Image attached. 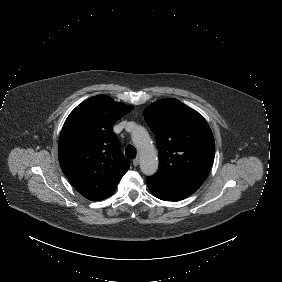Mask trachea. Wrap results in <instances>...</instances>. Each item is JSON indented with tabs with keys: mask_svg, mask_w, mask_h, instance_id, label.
<instances>
[{
	"mask_svg": "<svg viewBox=\"0 0 282 282\" xmlns=\"http://www.w3.org/2000/svg\"><path fill=\"white\" fill-rule=\"evenodd\" d=\"M136 149L134 146L132 145H128L125 149V155L126 157H128L129 159H134L136 157Z\"/></svg>",
	"mask_w": 282,
	"mask_h": 282,
	"instance_id": "trachea-1",
	"label": "trachea"
}]
</instances>
